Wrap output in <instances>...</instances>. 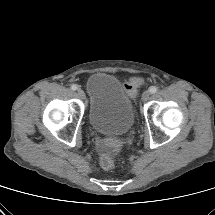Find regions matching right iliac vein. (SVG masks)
Segmentation results:
<instances>
[{
	"label": "right iliac vein",
	"mask_w": 215,
	"mask_h": 215,
	"mask_svg": "<svg viewBox=\"0 0 215 215\" xmlns=\"http://www.w3.org/2000/svg\"><path fill=\"white\" fill-rule=\"evenodd\" d=\"M77 94L80 98L84 99L85 97V94H84V91L82 89H78L77 90Z\"/></svg>",
	"instance_id": "obj_1"
}]
</instances>
